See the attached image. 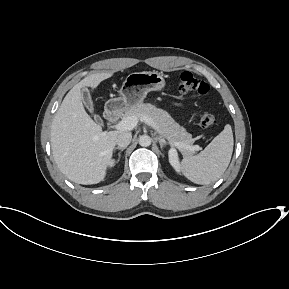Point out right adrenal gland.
I'll list each match as a JSON object with an SVG mask.
<instances>
[{
    "label": "right adrenal gland",
    "mask_w": 289,
    "mask_h": 289,
    "mask_svg": "<svg viewBox=\"0 0 289 289\" xmlns=\"http://www.w3.org/2000/svg\"><path fill=\"white\" fill-rule=\"evenodd\" d=\"M116 150H120V152H122V151H124L125 150V148L123 147H116L115 149H114V152H116ZM120 155V154H119Z\"/></svg>",
    "instance_id": "2a0ac1e0"
}]
</instances>
